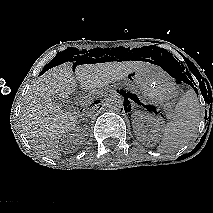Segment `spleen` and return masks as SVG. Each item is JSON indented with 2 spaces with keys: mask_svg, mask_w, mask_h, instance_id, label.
I'll use <instances>...</instances> for the list:
<instances>
[{
  "mask_svg": "<svg viewBox=\"0 0 213 213\" xmlns=\"http://www.w3.org/2000/svg\"><path fill=\"white\" fill-rule=\"evenodd\" d=\"M202 109L197 94L189 89L178 101L172 120L165 126L159 152H170L186 145L195 136Z\"/></svg>",
  "mask_w": 213,
  "mask_h": 213,
  "instance_id": "spleen-1",
  "label": "spleen"
}]
</instances>
